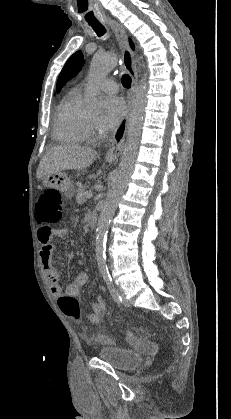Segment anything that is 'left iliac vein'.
Wrapping results in <instances>:
<instances>
[{
	"mask_svg": "<svg viewBox=\"0 0 231 419\" xmlns=\"http://www.w3.org/2000/svg\"><path fill=\"white\" fill-rule=\"evenodd\" d=\"M120 295L122 297V303H123V305L130 306V302L126 299L125 294L122 291H120Z\"/></svg>",
	"mask_w": 231,
	"mask_h": 419,
	"instance_id": "left-iliac-vein-1",
	"label": "left iliac vein"
}]
</instances>
